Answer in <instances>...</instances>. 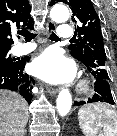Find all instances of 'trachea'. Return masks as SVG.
Segmentation results:
<instances>
[{
    "label": "trachea",
    "instance_id": "trachea-1",
    "mask_svg": "<svg viewBox=\"0 0 117 136\" xmlns=\"http://www.w3.org/2000/svg\"><path fill=\"white\" fill-rule=\"evenodd\" d=\"M19 34L22 35L26 41H30L36 37L37 34L31 33L29 29H22L19 31ZM51 40H60L59 37L55 33H51L50 35Z\"/></svg>",
    "mask_w": 117,
    "mask_h": 136
}]
</instances>
